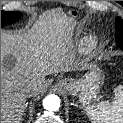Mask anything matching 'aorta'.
I'll return each instance as SVG.
<instances>
[{"label":"aorta","mask_w":123,"mask_h":123,"mask_svg":"<svg viewBox=\"0 0 123 123\" xmlns=\"http://www.w3.org/2000/svg\"><path fill=\"white\" fill-rule=\"evenodd\" d=\"M43 107L48 111H57L60 108V98L55 94H50L43 100Z\"/></svg>","instance_id":"aorta-1"}]
</instances>
